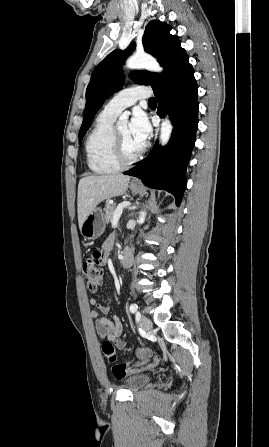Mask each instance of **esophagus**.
<instances>
[{
  "label": "esophagus",
  "mask_w": 269,
  "mask_h": 447,
  "mask_svg": "<svg viewBox=\"0 0 269 447\" xmlns=\"http://www.w3.org/2000/svg\"><path fill=\"white\" fill-rule=\"evenodd\" d=\"M131 183H140V181L138 179L132 180Z\"/></svg>",
  "instance_id": "34e87169"
}]
</instances>
